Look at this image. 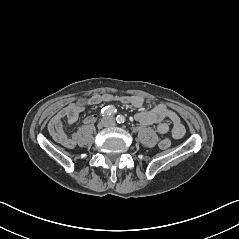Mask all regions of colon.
<instances>
[{"label":"colon","mask_w":239,"mask_h":239,"mask_svg":"<svg viewBox=\"0 0 239 239\" xmlns=\"http://www.w3.org/2000/svg\"><path fill=\"white\" fill-rule=\"evenodd\" d=\"M170 145H171V142H170L169 139H164V140H162V141L159 143V147H160L161 149H167V148L170 147Z\"/></svg>","instance_id":"5ec220e1"}]
</instances>
